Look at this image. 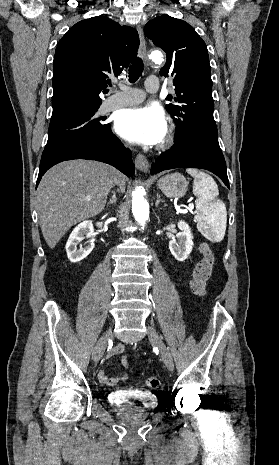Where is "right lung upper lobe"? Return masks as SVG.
I'll return each instance as SVG.
<instances>
[{"label": "right lung upper lobe", "mask_w": 279, "mask_h": 465, "mask_svg": "<svg viewBox=\"0 0 279 465\" xmlns=\"http://www.w3.org/2000/svg\"><path fill=\"white\" fill-rule=\"evenodd\" d=\"M138 46L135 29L107 17H92L72 26L55 51L50 125L99 108V94L109 77L129 66Z\"/></svg>", "instance_id": "cb5924a9"}]
</instances>
